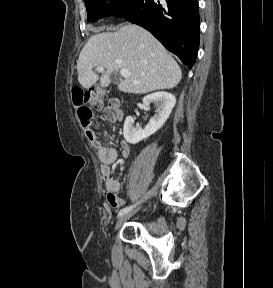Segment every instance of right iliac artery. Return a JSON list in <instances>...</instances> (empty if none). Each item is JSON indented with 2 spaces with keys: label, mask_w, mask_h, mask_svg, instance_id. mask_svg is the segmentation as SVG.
<instances>
[{
  "label": "right iliac artery",
  "mask_w": 273,
  "mask_h": 288,
  "mask_svg": "<svg viewBox=\"0 0 273 288\" xmlns=\"http://www.w3.org/2000/svg\"><path fill=\"white\" fill-rule=\"evenodd\" d=\"M136 205L133 206H129V207H125L123 209L120 210V212L118 213V217H121L122 215H124L125 213H128L129 211H131Z\"/></svg>",
  "instance_id": "obj_1"
}]
</instances>
